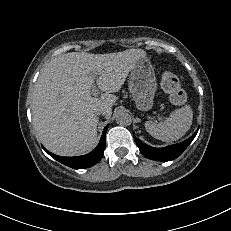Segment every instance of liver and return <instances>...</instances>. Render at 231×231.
I'll use <instances>...</instances> for the list:
<instances>
[{"label": "liver", "mask_w": 231, "mask_h": 231, "mask_svg": "<svg viewBox=\"0 0 231 231\" xmlns=\"http://www.w3.org/2000/svg\"><path fill=\"white\" fill-rule=\"evenodd\" d=\"M146 57L142 49L109 54L70 52L53 58L41 71L35 84L31 112L41 143L52 153L78 156L97 144L98 118L103 109L109 119L117 98L135 64ZM100 97L91 95L94 74Z\"/></svg>", "instance_id": "6515ba94"}]
</instances>
